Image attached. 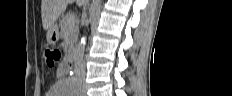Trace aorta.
<instances>
[{"instance_id":"aorta-1","label":"aorta","mask_w":232,"mask_h":96,"mask_svg":"<svg viewBox=\"0 0 232 96\" xmlns=\"http://www.w3.org/2000/svg\"><path fill=\"white\" fill-rule=\"evenodd\" d=\"M85 45H86V37H82L81 41L76 45L74 50L75 66H79L83 61Z\"/></svg>"}]
</instances>
